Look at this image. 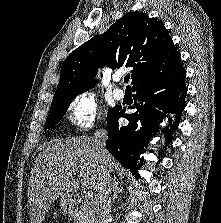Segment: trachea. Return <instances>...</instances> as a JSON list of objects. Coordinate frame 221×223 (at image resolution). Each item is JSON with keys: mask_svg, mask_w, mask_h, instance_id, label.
<instances>
[{"mask_svg": "<svg viewBox=\"0 0 221 223\" xmlns=\"http://www.w3.org/2000/svg\"><path fill=\"white\" fill-rule=\"evenodd\" d=\"M129 79H130V75L127 74V75L124 77V82H125V83H128Z\"/></svg>", "mask_w": 221, "mask_h": 223, "instance_id": "1", "label": "trachea"}]
</instances>
